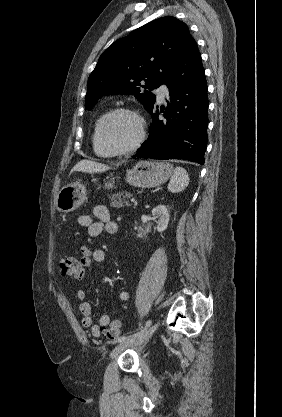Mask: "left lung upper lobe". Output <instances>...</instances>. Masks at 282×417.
I'll use <instances>...</instances> for the list:
<instances>
[{
  "label": "left lung upper lobe",
  "mask_w": 282,
  "mask_h": 417,
  "mask_svg": "<svg viewBox=\"0 0 282 417\" xmlns=\"http://www.w3.org/2000/svg\"><path fill=\"white\" fill-rule=\"evenodd\" d=\"M193 41L188 26L172 16L118 39L100 56L89 76L86 109L91 110L104 95L134 94L149 112L156 101L151 91L163 84L175 60Z\"/></svg>",
  "instance_id": "left-lung-upper-lobe-1"
}]
</instances>
